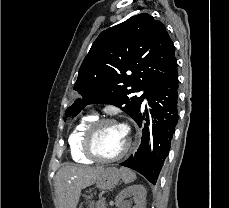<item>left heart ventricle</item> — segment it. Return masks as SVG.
<instances>
[{
	"label": "left heart ventricle",
	"mask_w": 229,
	"mask_h": 208,
	"mask_svg": "<svg viewBox=\"0 0 229 208\" xmlns=\"http://www.w3.org/2000/svg\"><path fill=\"white\" fill-rule=\"evenodd\" d=\"M128 142L127 134L118 125H104L97 136L93 139V152H99V157H117Z\"/></svg>",
	"instance_id": "1"
}]
</instances>
